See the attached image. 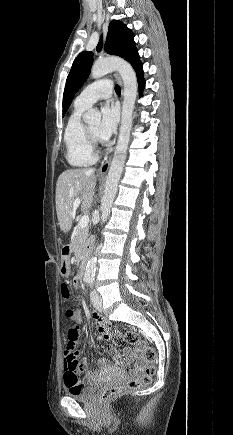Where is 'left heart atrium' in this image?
Instances as JSON below:
<instances>
[{
  "mask_svg": "<svg viewBox=\"0 0 233 435\" xmlns=\"http://www.w3.org/2000/svg\"><path fill=\"white\" fill-rule=\"evenodd\" d=\"M118 120V109L114 105L107 104L102 108V120L97 137L103 143H108L115 134Z\"/></svg>",
  "mask_w": 233,
  "mask_h": 435,
  "instance_id": "left-heart-atrium-1",
  "label": "left heart atrium"
}]
</instances>
